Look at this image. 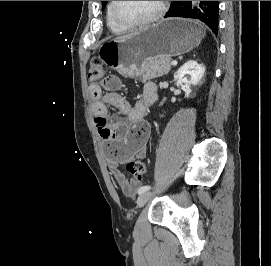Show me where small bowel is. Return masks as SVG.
<instances>
[{
  "label": "small bowel",
  "instance_id": "small-bowel-1",
  "mask_svg": "<svg viewBox=\"0 0 271 266\" xmlns=\"http://www.w3.org/2000/svg\"><path fill=\"white\" fill-rule=\"evenodd\" d=\"M103 88L107 90L106 93ZM118 88L119 81L114 76L105 79L102 86L91 85V110L95 126L105 144L109 170L122 192L131 195L140 183L126 179L119 166L133 158L145 157L150 128L144 117L156 101L157 93L155 85L148 83L144 86L142 98L130 105ZM108 105L118 112L119 117L114 122L108 116Z\"/></svg>",
  "mask_w": 271,
  "mask_h": 266
}]
</instances>
